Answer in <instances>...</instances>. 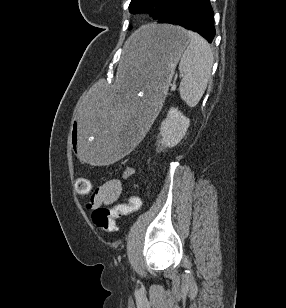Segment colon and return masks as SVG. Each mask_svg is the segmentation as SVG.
I'll return each instance as SVG.
<instances>
[{
    "instance_id": "colon-1",
    "label": "colon",
    "mask_w": 286,
    "mask_h": 308,
    "mask_svg": "<svg viewBox=\"0 0 286 308\" xmlns=\"http://www.w3.org/2000/svg\"><path fill=\"white\" fill-rule=\"evenodd\" d=\"M75 190L86 195L91 190V184L87 179L79 178L74 183ZM141 206V201L137 196H130L124 204L116 205L112 208L97 207L92 212L93 223L105 232H114L116 230V219L137 211Z\"/></svg>"
}]
</instances>
